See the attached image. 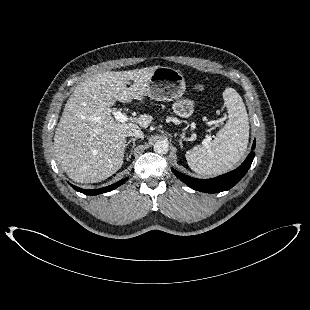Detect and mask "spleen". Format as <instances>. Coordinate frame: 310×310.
I'll list each match as a JSON object with an SVG mask.
<instances>
[{
    "label": "spleen",
    "instance_id": "1",
    "mask_svg": "<svg viewBox=\"0 0 310 310\" xmlns=\"http://www.w3.org/2000/svg\"><path fill=\"white\" fill-rule=\"evenodd\" d=\"M228 121L210 143L197 145L185 154L189 167L198 174L219 175L232 169L244 156L249 139L248 114L233 88L223 92Z\"/></svg>",
    "mask_w": 310,
    "mask_h": 310
}]
</instances>
